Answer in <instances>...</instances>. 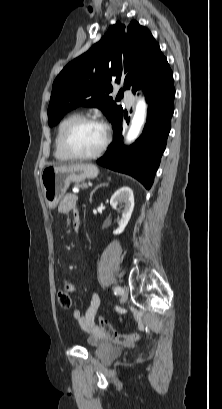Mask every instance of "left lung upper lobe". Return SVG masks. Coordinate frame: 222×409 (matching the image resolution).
Instances as JSON below:
<instances>
[{
    "label": "left lung upper lobe",
    "instance_id": "obj_1",
    "mask_svg": "<svg viewBox=\"0 0 222 409\" xmlns=\"http://www.w3.org/2000/svg\"><path fill=\"white\" fill-rule=\"evenodd\" d=\"M159 44L137 21L117 22L90 50L68 63L56 77L48 107L49 126L78 106L101 109L110 122L123 113L107 94L111 81L135 93L169 69ZM121 93V90L119 91Z\"/></svg>",
    "mask_w": 222,
    "mask_h": 409
}]
</instances>
